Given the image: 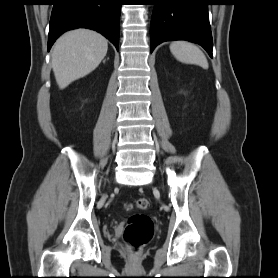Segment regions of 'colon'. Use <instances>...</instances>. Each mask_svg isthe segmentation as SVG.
<instances>
[{"label":"colon","mask_w":278,"mask_h":278,"mask_svg":"<svg viewBox=\"0 0 278 278\" xmlns=\"http://www.w3.org/2000/svg\"><path fill=\"white\" fill-rule=\"evenodd\" d=\"M133 206L138 210H146L150 203L146 198H139L134 201ZM154 227L152 219L142 213L130 216L124 231V240L133 252L139 251L153 237Z\"/></svg>","instance_id":"obj_1"}]
</instances>
